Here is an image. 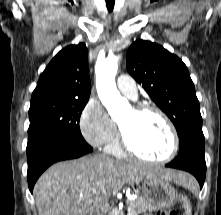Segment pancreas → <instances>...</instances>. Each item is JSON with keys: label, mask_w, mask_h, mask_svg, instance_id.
I'll return each mask as SVG.
<instances>
[{"label": "pancreas", "mask_w": 221, "mask_h": 215, "mask_svg": "<svg viewBox=\"0 0 221 215\" xmlns=\"http://www.w3.org/2000/svg\"><path fill=\"white\" fill-rule=\"evenodd\" d=\"M128 215H139L147 210L154 211L158 210L157 207L153 206L149 201L144 198L138 197L134 200H127Z\"/></svg>", "instance_id": "obj_1"}]
</instances>
